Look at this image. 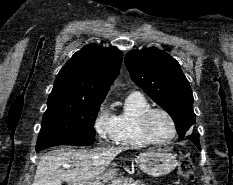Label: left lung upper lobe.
<instances>
[{"mask_svg": "<svg viewBox=\"0 0 233 185\" xmlns=\"http://www.w3.org/2000/svg\"><path fill=\"white\" fill-rule=\"evenodd\" d=\"M125 64L132 80L173 119L180 138L195 123L193 95L179 63L157 48L130 51Z\"/></svg>", "mask_w": 233, "mask_h": 185, "instance_id": "obj_1", "label": "left lung upper lobe"}]
</instances>
